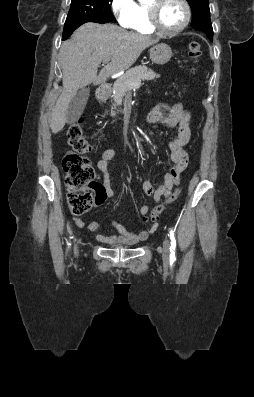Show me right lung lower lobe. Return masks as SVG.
Returning a JSON list of instances; mask_svg holds the SVG:
<instances>
[{"instance_id":"1","label":"right lung lower lobe","mask_w":254,"mask_h":397,"mask_svg":"<svg viewBox=\"0 0 254 397\" xmlns=\"http://www.w3.org/2000/svg\"><path fill=\"white\" fill-rule=\"evenodd\" d=\"M89 22L86 20H78V21H73L70 23H65L64 25V30H63V40L67 39L75 29H77L80 25Z\"/></svg>"}]
</instances>
